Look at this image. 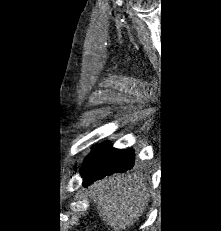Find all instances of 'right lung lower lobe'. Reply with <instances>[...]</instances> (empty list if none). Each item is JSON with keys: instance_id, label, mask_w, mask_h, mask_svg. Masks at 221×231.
I'll return each instance as SVG.
<instances>
[{"instance_id": "1", "label": "right lung lower lobe", "mask_w": 221, "mask_h": 231, "mask_svg": "<svg viewBox=\"0 0 221 231\" xmlns=\"http://www.w3.org/2000/svg\"><path fill=\"white\" fill-rule=\"evenodd\" d=\"M91 150L80 169L84 186L113 173L125 172L134 166L135 154L132 149H115L107 141L93 146Z\"/></svg>"}]
</instances>
